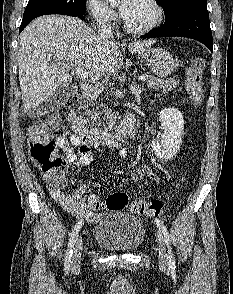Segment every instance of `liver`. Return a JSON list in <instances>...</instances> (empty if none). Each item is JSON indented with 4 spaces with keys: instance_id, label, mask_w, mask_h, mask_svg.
<instances>
[{
    "instance_id": "1",
    "label": "liver",
    "mask_w": 233,
    "mask_h": 294,
    "mask_svg": "<svg viewBox=\"0 0 233 294\" xmlns=\"http://www.w3.org/2000/svg\"><path fill=\"white\" fill-rule=\"evenodd\" d=\"M154 40L129 44L132 53L142 54ZM64 63L83 66L87 78L96 81L114 74L123 63L117 43L103 39L83 21L48 15L35 19L22 32L18 48L22 103L30 111L50 98L72 78Z\"/></svg>"
}]
</instances>
